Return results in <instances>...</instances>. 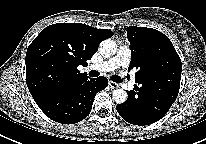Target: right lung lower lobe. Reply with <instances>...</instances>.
I'll return each instance as SVG.
<instances>
[{
  "mask_svg": "<svg viewBox=\"0 0 206 144\" xmlns=\"http://www.w3.org/2000/svg\"><path fill=\"white\" fill-rule=\"evenodd\" d=\"M108 85L106 77L84 80L75 86L54 90L35 100L52 120L62 124L77 123L86 118L95 95Z\"/></svg>",
  "mask_w": 206,
  "mask_h": 144,
  "instance_id": "obj_1",
  "label": "right lung lower lobe"
}]
</instances>
